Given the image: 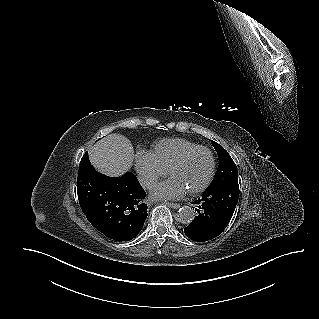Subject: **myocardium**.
<instances>
[{
	"label": "myocardium",
	"mask_w": 319,
	"mask_h": 319,
	"mask_svg": "<svg viewBox=\"0 0 319 319\" xmlns=\"http://www.w3.org/2000/svg\"><path fill=\"white\" fill-rule=\"evenodd\" d=\"M200 151H204L208 153L210 157V161H211L210 171L208 173V176L206 177V179L201 185H199L198 187L194 189L188 190L189 194H198L204 191L212 182L215 175V171H216V159H215L213 151L206 146H196L194 148L188 149L185 152H183L175 161H173L168 168V174L171 175L173 170L181 166L190 156Z\"/></svg>",
	"instance_id": "1"
}]
</instances>
